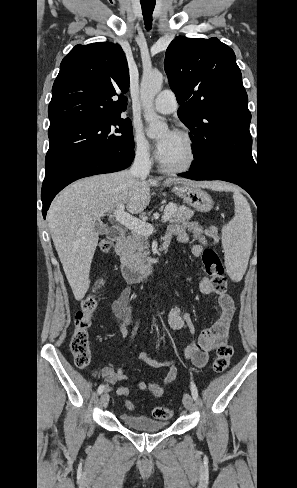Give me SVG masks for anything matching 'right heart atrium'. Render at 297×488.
I'll list each match as a JSON object with an SVG mask.
<instances>
[{
  "label": "right heart atrium",
  "mask_w": 297,
  "mask_h": 488,
  "mask_svg": "<svg viewBox=\"0 0 297 488\" xmlns=\"http://www.w3.org/2000/svg\"><path fill=\"white\" fill-rule=\"evenodd\" d=\"M132 144L135 154L143 159H149L153 154V146L139 126L132 131Z\"/></svg>",
  "instance_id": "1"
}]
</instances>
